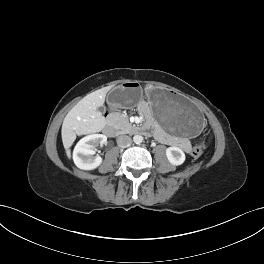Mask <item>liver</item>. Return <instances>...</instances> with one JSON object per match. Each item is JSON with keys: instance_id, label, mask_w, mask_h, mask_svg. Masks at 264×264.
Instances as JSON below:
<instances>
[{"instance_id": "liver-1", "label": "liver", "mask_w": 264, "mask_h": 264, "mask_svg": "<svg viewBox=\"0 0 264 264\" xmlns=\"http://www.w3.org/2000/svg\"><path fill=\"white\" fill-rule=\"evenodd\" d=\"M109 88L92 92L80 100L66 115L62 124V142L70 157V147L76 136L100 132L106 126V119L98 110L105 102Z\"/></svg>"}]
</instances>
